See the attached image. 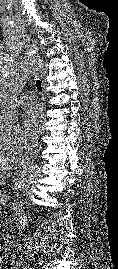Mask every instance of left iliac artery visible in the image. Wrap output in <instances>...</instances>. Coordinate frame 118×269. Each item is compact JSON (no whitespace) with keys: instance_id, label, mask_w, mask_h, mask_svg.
Instances as JSON below:
<instances>
[{"instance_id":"44dca946","label":"left iliac artery","mask_w":118,"mask_h":269,"mask_svg":"<svg viewBox=\"0 0 118 269\" xmlns=\"http://www.w3.org/2000/svg\"><path fill=\"white\" fill-rule=\"evenodd\" d=\"M23 269H29L28 267H25V268H23Z\"/></svg>"}]
</instances>
